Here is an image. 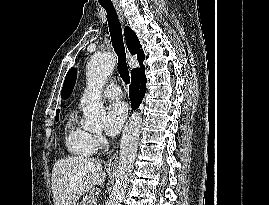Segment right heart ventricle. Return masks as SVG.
<instances>
[{
	"instance_id": "obj_1",
	"label": "right heart ventricle",
	"mask_w": 269,
	"mask_h": 205,
	"mask_svg": "<svg viewBox=\"0 0 269 205\" xmlns=\"http://www.w3.org/2000/svg\"><path fill=\"white\" fill-rule=\"evenodd\" d=\"M91 135L82 128L76 120V115L72 113L65 124V146L68 152L79 158H87L95 153Z\"/></svg>"
}]
</instances>
